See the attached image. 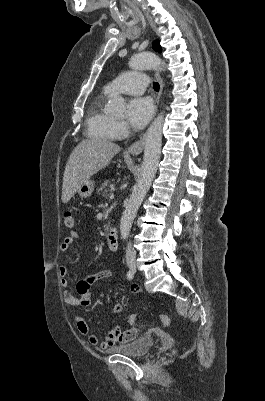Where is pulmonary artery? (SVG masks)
I'll return each instance as SVG.
<instances>
[{"instance_id": "pulmonary-artery-1", "label": "pulmonary artery", "mask_w": 265, "mask_h": 401, "mask_svg": "<svg viewBox=\"0 0 265 401\" xmlns=\"http://www.w3.org/2000/svg\"><path fill=\"white\" fill-rule=\"evenodd\" d=\"M143 83V74L135 75L134 72H127L126 75H119L118 81H113L106 86V90L113 94L121 92L122 95H141Z\"/></svg>"}]
</instances>
